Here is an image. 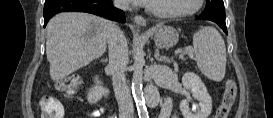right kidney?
<instances>
[{"mask_svg": "<svg viewBox=\"0 0 273 118\" xmlns=\"http://www.w3.org/2000/svg\"><path fill=\"white\" fill-rule=\"evenodd\" d=\"M102 95H103L102 88L99 86H95L89 89V92L87 94V99L89 103H96L102 98Z\"/></svg>", "mask_w": 273, "mask_h": 118, "instance_id": "obj_1", "label": "right kidney"}]
</instances>
